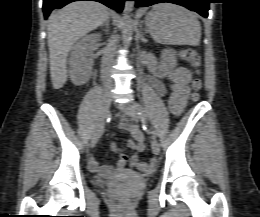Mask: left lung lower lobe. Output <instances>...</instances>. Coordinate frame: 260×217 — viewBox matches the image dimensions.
Returning a JSON list of instances; mask_svg holds the SVG:
<instances>
[{
    "label": "left lung lower lobe",
    "mask_w": 260,
    "mask_h": 217,
    "mask_svg": "<svg viewBox=\"0 0 260 217\" xmlns=\"http://www.w3.org/2000/svg\"><path fill=\"white\" fill-rule=\"evenodd\" d=\"M136 2V7H147L156 3L169 2L184 6L192 11H196L203 17H208L210 0H132Z\"/></svg>",
    "instance_id": "left-lung-lower-lobe-1"
}]
</instances>
